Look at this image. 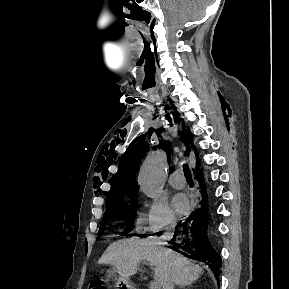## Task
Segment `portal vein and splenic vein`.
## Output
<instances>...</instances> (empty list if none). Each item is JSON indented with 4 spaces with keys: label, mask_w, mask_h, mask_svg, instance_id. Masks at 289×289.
Instances as JSON below:
<instances>
[{
    "label": "portal vein and splenic vein",
    "mask_w": 289,
    "mask_h": 289,
    "mask_svg": "<svg viewBox=\"0 0 289 289\" xmlns=\"http://www.w3.org/2000/svg\"><path fill=\"white\" fill-rule=\"evenodd\" d=\"M160 285L157 280L153 281L150 289H159Z\"/></svg>",
    "instance_id": "portal-vein-and-splenic-vein-1"
}]
</instances>
